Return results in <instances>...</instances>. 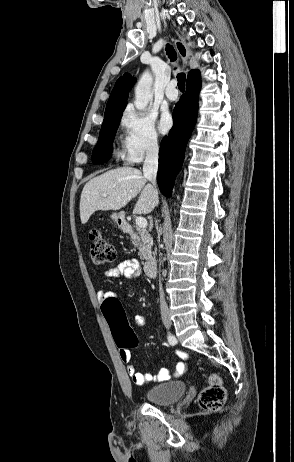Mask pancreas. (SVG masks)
Masks as SVG:
<instances>
[{
  "label": "pancreas",
  "mask_w": 294,
  "mask_h": 462,
  "mask_svg": "<svg viewBox=\"0 0 294 462\" xmlns=\"http://www.w3.org/2000/svg\"><path fill=\"white\" fill-rule=\"evenodd\" d=\"M135 232H131L132 243L137 247L141 260H149L152 258V238L148 231L136 227Z\"/></svg>",
  "instance_id": "pancreas-1"
}]
</instances>
